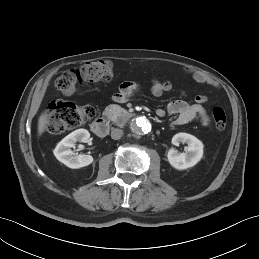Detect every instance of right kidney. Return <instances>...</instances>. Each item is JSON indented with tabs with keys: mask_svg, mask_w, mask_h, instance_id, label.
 <instances>
[{
	"mask_svg": "<svg viewBox=\"0 0 259 259\" xmlns=\"http://www.w3.org/2000/svg\"><path fill=\"white\" fill-rule=\"evenodd\" d=\"M90 138V133L86 129H77L63 138L54 149L55 157L72 169H78L88 166L93 162L91 155L79 154L75 155L70 148L75 147V143L86 142Z\"/></svg>",
	"mask_w": 259,
	"mask_h": 259,
	"instance_id": "obj_1",
	"label": "right kidney"
}]
</instances>
